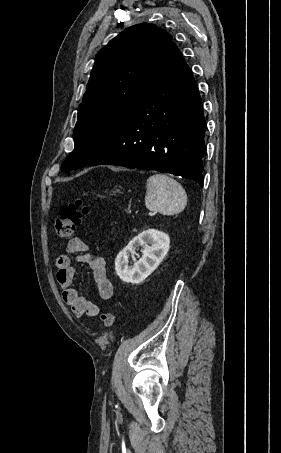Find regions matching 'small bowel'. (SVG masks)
<instances>
[{"label": "small bowel", "mask_w": 281, "mask_h": 453, "mask_svg": "<svg viewBox=\"0 0 281 453\" xmlns=\"http://www.w3.org/2000/svg\"><path fill=\"white\" fill-rule=\"evenodd\" d=\"M75 254L77 259L88 265L92 273V279L96 285L99 295L103 299L112 296V284L107 274L106 262L102 255L89 251L87 244L80 238H72L68 248L56 259V277L62 289V298L66 305L77 315H88L96 317L99 314V307L86 299L80 297L73 289V276L75 268L72 264Z\"/></svg>", "instance_id": "obj_1"}]
</instances>
